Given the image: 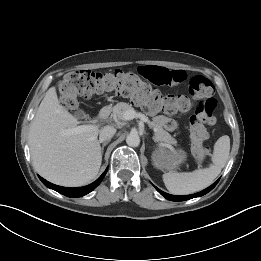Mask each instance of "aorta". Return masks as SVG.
Returning a JSON list of instances; mask_svg holds the SVG:
<instances>
[{"mask_svg": "<svg viewBox=\"0 0 261 261\" xmlns=\"http://www.w3.org/2000/svg\"><path fill=\"white\" fill-rule=\"evenodd\" d=\"M126 143L128 146L137 147L140 144V137L137 133H130L126 137Z\"/></svg>", "mask_w": 261, "mask_h": 261, "instance_id": "aorta-1", "label": "aorta"}]
</instances>
